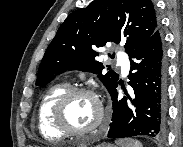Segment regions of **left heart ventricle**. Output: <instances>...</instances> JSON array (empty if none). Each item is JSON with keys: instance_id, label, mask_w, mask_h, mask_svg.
<instances>
[{"instance_id": "b2bd125f", "label": "left heart ventricle", "mask_w": 183, "mask_h": 147, "mask_svg": "<svg viewBox=\"0 0 183 147\" xmlns=\"http://www.w3.org/2000/svg\"><path fill=\"white\" fill-rule=\"evenodd\" d=\"M97 106L87 95H78L72 98L66 108V118L69 125L77 130L90 127L97 118Z\"/></svg>"}]
</instances>
